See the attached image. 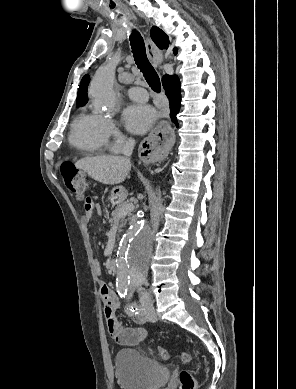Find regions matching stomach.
<instances>
[{
  "label": "stomach",
  "instance_id": "0dacf381",
  "mask_svg": "<svg viewBox=\"0 0 296 389\" xmlns=\"http://www.w3.org/2000/svg\"><path fill=\"white\" fill-rule=\"evenodd\" d=\"M126 191L123 187H115L111 191L110 199L112 202L122 200L125 197Z\"/></svg>",
  "mask_w": 296,
  "mask_h": 389
}]
</instances>
